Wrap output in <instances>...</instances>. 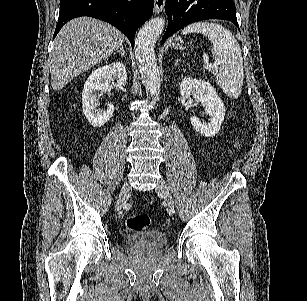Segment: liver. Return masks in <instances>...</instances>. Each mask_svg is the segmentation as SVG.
Returning a JSON list of instances; mask_svg holds the SVG:
<instances>
[{
  "mask_svg": "<svg viewBox=\"0 0 307 301\" xmlns=\"http://www.w3.org/2000/svg\"><path fill=\"white\" fill-rule=\"evenodd\" d=\"M124 34L92 16L72 18L59 30L50 56L51 86L61 90L67 82L106 60L121 48Z\"/></svg>",
  "mask_w": 307,
  "mask_h": 301,
  "instance_id": "liver-1",
  "label": "liver"
}]
</instances>
